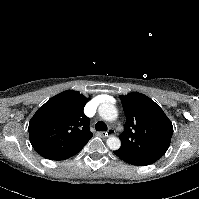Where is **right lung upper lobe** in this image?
I'll list each match as a JSON object with an SVG mask.
<instances>
[{"mask_svg":"<svg viewBox=\"0 0 199 199\" xmlns=\"http://www.w3.org/2000/svg\"><path fill=\"white\" fill-rule=\"evenodd\" d=\"M87 98L77 91H64L49 99L29 122L30 142L47 159L66 155L86 145L93 134L83 113Z\"/></svg>","mask_w":199,"mask_h":199,"instance_id":"cb5924a9","label":"right lung upper lobe"}]
</instances>
